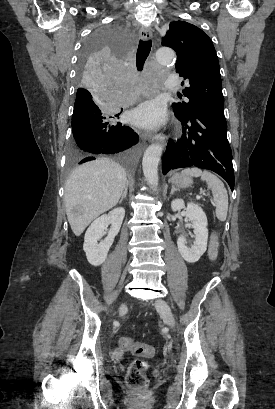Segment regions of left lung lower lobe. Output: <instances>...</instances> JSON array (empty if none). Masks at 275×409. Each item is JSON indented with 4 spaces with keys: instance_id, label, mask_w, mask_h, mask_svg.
I'll list each match as a JSON object with an SVG mask.
<instances>
[{
    "instance_id": "left-lung-lower-lobe-1",
    "label": "left lung lower lobe",
    "mask_w": 275,
    "mask_h": 409,
    "mask_svg": "<svg viewBox=\"0 0 275 409\" xmlns=\"http://www.w3.org/2000/svg\"><path fill=\"white\" fill-rule=\"evenodd\" d=\"M182 137L170 140L162 161V171L196 166L212 170L222 176L234 189L232 152L227 140L224 113L211 110L194 112L190 117H179Z\"/></svg>"
}]
</instances>
